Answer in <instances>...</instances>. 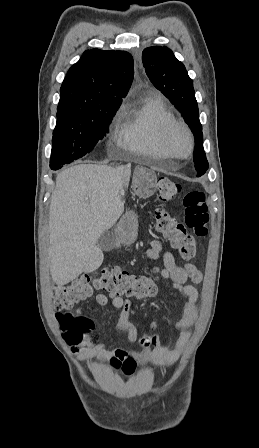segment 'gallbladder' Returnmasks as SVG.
Wrapping results in <instances>:
<instances>
[{
  "mask_svg": "<svg viewBox=\"0 0 259 448\" xmlns=\"http://www.w3.org/2000/svg\"><path fill=\"white\" fill-rule=\"evenodd\" d=\"M97 246L104 252H110L116 246V238L113 232H103L102 236L97 240Z\"/></svg>",
  "mask_w": 259,
  "mask_h": 448,
  "instance_id": "gallbladder-1",
  "label": "gallbladder"
}]
</instances>
